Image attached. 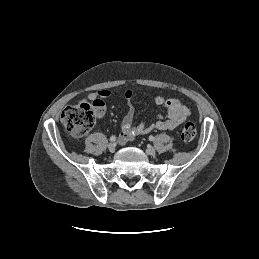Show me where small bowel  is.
Masks as SVG:
<instances>
[{
  "mask_svg": "<svg viewBox=\"0 0 259 259\" xmlns=\"http://www.w3.org/2000/svg\"><path fill=\"white\" fill-rule=\"evenodd\" d=\"M113 94L114 92L111 90H100L91 92L87 95V100L92 101L94 104L95 114L98 118H102L105 115V100ZM124 96L127 100L128 108L121 122V133L119 136L121 144H125L128 141H131L140 135H145L155 129L173 130L190 115V110L180 100L176 98H165L163 95H156L153 97V101L156 105L166 110V115H160L158 119L151 124L142 122L137 126H133L135 116V107L133 103L134 94L131 90H126L124 91Z\"/></svg>",
  "mask_w": 259,
  "mask_h": 259,
  "instance_id": "obj_1",
  "label": "small bowel"
}]
</instances>
